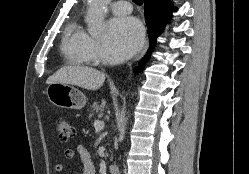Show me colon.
Returning <instances> with one entry per match:
<instances>
[{"label":"colon","mask_w":249,"mask_h":174,"mask_svg":"<svg viewBox=\"0 0 249 174\" xmlns=\"http://www.w3.org/2000/svg\"><path fill=\"white\" fill-rule=\"evenodd\" d=\"M54 126L61 142L66 143L74 136V128L66 118L56 117Z\"/></svg>","instance_id":"colon-1"}]
</instances>
